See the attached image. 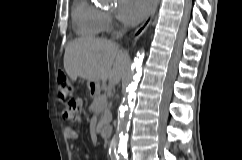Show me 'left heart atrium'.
<instances>
[{
	"instance_id": "obj_1",
	"label": "left heart atrium",
	"mask_w": 242,
	"mask_h": 160,
	"mask_svg": "<svg viewBox=\"0 0 242 160\" xmlns=\"http://www.w3.org/2000/svg\"><path fill=\"white\" fill-rule=\"evenodd\" d=\"M152 0H118L116 13L126 24L140 22L150 11Z\"/></svg>"
}]
</instances>
